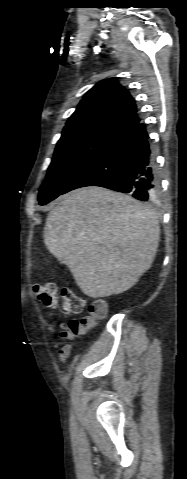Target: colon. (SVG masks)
Instances as JSON below:
<instances>
[{"label": "colon", "mask_w": 187, "mask_h": 479, "mask_svg": "<svg viewBox=\"0 0 187 479\" xmlns=\"http://www.w3.org/2000/svg\"><path fill=\"white\" fill-rule=\"evenodd\" d=\"M34 295L47 307L59 306L65 314H80L85 302L71 288L57 290L51 282L37 283L33 287ZM89 314L81 319H72L64 327L61 337L72 338L91 330L96 322L105 317L107 304L103 299H94L88 306Z\"/></svg>", "instance_id": "1"}]
</instances>
